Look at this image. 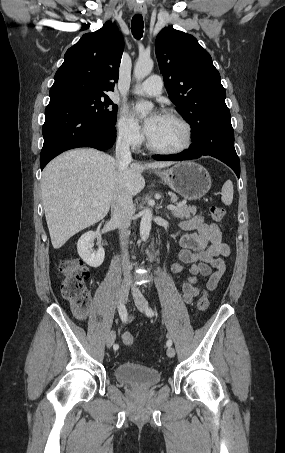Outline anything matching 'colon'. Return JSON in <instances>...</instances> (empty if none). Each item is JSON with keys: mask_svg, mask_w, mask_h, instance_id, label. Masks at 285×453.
I'll return each instance as SVG.
<instances>
[{"mask_svg": "<svg viewBox=\"0 0 285 453\" xmlns=\"http://www.w3.org/2000/svg\"><path fill=\"white\" fill-rule=\"evenodd\" d=\"M210 214L214 221L221 222L224 217V210L218 206L210 208ZM59 272L63 276L61 293L63 298L70 304L73 312L78 317H84L91 306V295L87 289L89 272L81 259L66 258L62 259L58 265ZM209 306V295L204 291L197 303L198 312H204ZM122 341L126 346H133L134 337L130 333L122 336Z\"/></svg>", "mask_w": 285, "mask_h": 453, "instance_id": "1", "label": "colon"}]
</instances>
